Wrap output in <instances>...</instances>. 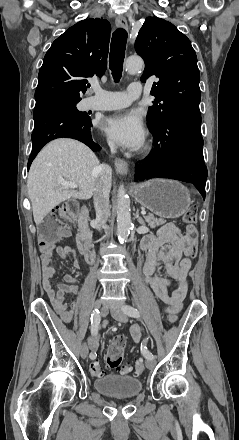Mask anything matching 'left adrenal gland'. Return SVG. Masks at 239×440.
Instances as JSON below:
<instances>
[{"label": "left adrenal gland", "mask_w": 239, "mask_h": 440, "mask_svg": "<svg viewBox=\"0 0 239 440\" xmlns=\"http://www.w3.org/2000/svg\"><path fill=\"white\" fill-rule=\"evenodd\" d=\"M134 220H138V222H139V224H141V226H145L144 220H142V218H140V216H139V210H137L136 214H134Z\"/></svg>", "instance_id": "obj_1"}]
</instances>
